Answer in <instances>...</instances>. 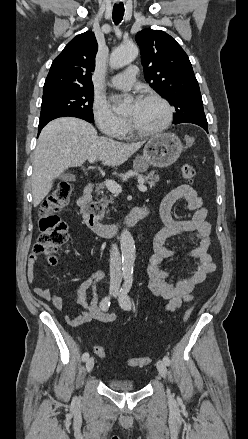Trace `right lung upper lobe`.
Returning a JSON list of instances; mask_svg holds the SVG:
<instances>
[{
    "mask_svg": "<svg viewBox=\"0 0 248 439\" xmlns=\"http://www.w3.org/2000/svg\"><path fill=\"white\" fill-rule=\"evenodd\" d=\"M98 44L93 32L74 37L52 62L43 95L80 88H93L92 72Z\"/></svg>",
    "mask_w": 248,
    "mask_h": 439,
    "instance_id": "cb5924a9",
    "label": "right lung upper lobe"
}]
</instances>
